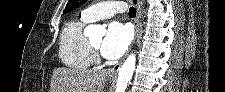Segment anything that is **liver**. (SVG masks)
Listing matches in <instances>:
<instances>
[{
	"label": "liver",
	"instance_id": "liver-1",
	"mask_svg": "<svg viewBox=\"0 0 225 92\" xmlns=\"http://www.w3.org/2000/svg\"><path fill=\"white\" fill-rule=\"evenodd\" d=\"M107 70L55 68L49 92H103Z\"/></svg>",
	"mask_w": 225,
	"mask_h": 92
}]
</instances>
